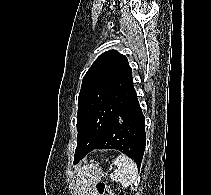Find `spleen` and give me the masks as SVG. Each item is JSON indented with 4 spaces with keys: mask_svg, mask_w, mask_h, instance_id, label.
<instances>
[{
    "mask_svg": "<svg viewBox=\"0 0 211 195\" xmlns=\"http://www.w3.org/2000/svg\"><path fill=\"white\" fill-rule=\"evenodd\" d=\"M113 164L118 169L110 175L111 179L120 182L125 187L133 184L138 173L135 162L125 155H119L115 158Z\"/></svg>",
    "mask_w": 211,
    "mask_h": 195,
    "instance_id": "3e777b00",
    "label": "spleen"
}]
</instances>
